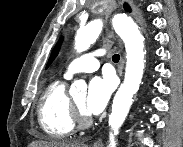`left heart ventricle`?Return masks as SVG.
<instances>
[{
	"label": "left heart ventricle",
	"instance_id": "left-heart-ventricle-1",
	"mask_svg": "<svg viewBox=\"0 0 183 147\" xmlns=\"http://www.w3.org/2000/svg\"><path fill=\"white\" fill-rule=\"evenodd\" d=\"M85 100H86L85 95H82V96L74 99V102L77 104V106L80 107L84 112H86L85 111V108H84V106H85Z\"/></svg>",
	"mask_w": 183,
	"mask_h": 147
}]
</instances>
